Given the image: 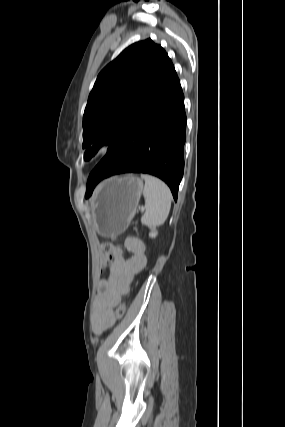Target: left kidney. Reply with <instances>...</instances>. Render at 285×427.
Listing matches in <instances>:
<instances>
[{"instance_id":"obj_1","label":"left kidney","mask_w":285,"mask_h":427,"mask_svg":"<svg viewBox=\"0 0 285 427\" xmlns=\"http://www.w3.org/2000/svg\"><path fill=\"white\" fill-rule=\"evenodd\" d=\"M157 234H158V232H157V230H156V227L154 226V227H152L151 228V232L149 233V236L151 237V238H155L156 236H157Z\"/></svg>"}]
</instances>
